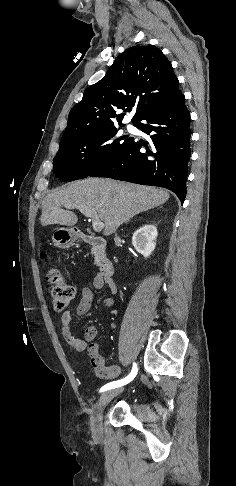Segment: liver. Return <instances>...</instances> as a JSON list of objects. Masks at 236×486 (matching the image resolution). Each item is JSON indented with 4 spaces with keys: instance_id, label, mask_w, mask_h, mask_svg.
Instances as JSON below:
<instances>
[{
    "instance_id": "6515ba94",
    "label": "liver",
    "mask_w": 236,
    "mask_h": 486,
    "mask_svg": "<svg viewBox=\"0 0 236 486\" xmlns=\"http://www.w3.org/2000/svg\"><path fill=\"white\" fill-rule=\"evenodd\" d=\"M169 193L154 187L103 178H87L49 193L42 202L41 225L73 226L77 216L71 209H95L104 222L103 234L109 236L133 216L164 204Z\"/></svg>"
}]
</instances>
